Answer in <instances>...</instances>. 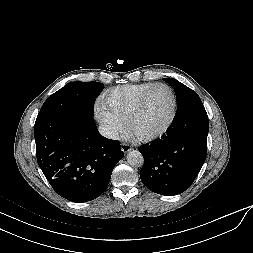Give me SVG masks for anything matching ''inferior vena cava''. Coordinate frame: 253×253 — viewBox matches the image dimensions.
<instances>
[{
	"mask_svg": "<svg viewBox=\"0 0 253 253\" xmlns=\"http://www.w3.org/2000/svg\"><path fill=\"white\" fill-rule=\"evenodd\" d=\"M98 131L102 136H104L106 138L113 139V140L119 139L118 131L109 125H106V124L100 125L98 127Z\"/></svg>",
	"mask_w": 253,
	"mask_h": 253,
	"instance_id": "obj_1",
	"label": "inferior vena cava"
}]
</instances>
